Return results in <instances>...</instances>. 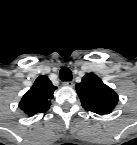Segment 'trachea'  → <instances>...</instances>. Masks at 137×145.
Segmentation results:
<instances>
[{
    "mask_svg": "<svg viewBox=\"0 0 137 145\" xmlns=\"http://www.w3.org/2000/svg\"><path fill=\"white\" fill-rule=\"evenodd\" d=\"M59 77H60L61 81H71L72 72L70 69L64 67L60 70Z\"/></svg>",
    "mask_w": 137,
    "mask_h": 145,
    "instance_id": "3493384b",
    "label": "trachea"
}]
</instances>
